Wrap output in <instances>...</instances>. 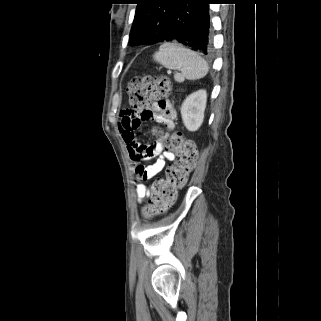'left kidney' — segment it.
I'll list each match as a JSON object with an SVG mask.
<instances>
[{"mask_svg":"<svg viewBox=\"0 0 321 321\" xmlns=\"http://www.w3.org/2000/svg\"><path fill=\"white\" fill-rule=\"evenodd\" d=\"M207 93L198 90L190 94L182 103L181 115L185 127L189 131H197L203 123Z\"/></svg>","mask_w":321,"mask_h":321,"instance_id":"5707ae66","label":"left kidney"}]
</instances>
